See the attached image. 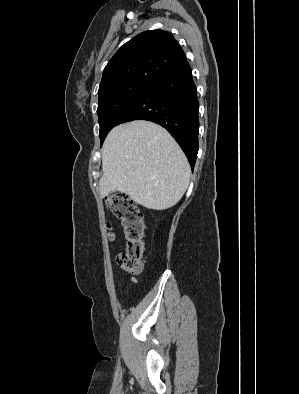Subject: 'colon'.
I'll return each instance as SVG.
<instances>
[{"instance_id": "1", "label": "colon", "mask_w": 299, "mask_h": 394, "mask_svg": "<svg viewBox=\"0 0 299 394\" xmlns=\"http://www.w3.org/2000/svg\"><path fill=\"white\" fill-rule=\"evenodd\" d=\"M105 205L106 209L121 221L126 239L125 251L117 256L118 266L127 275H137L142 269L145 248L143 213L136 202L125 194H115L109 197ZM113 237L111 233L110 238L113 239Z\"/></svg>"}]
</instances>
